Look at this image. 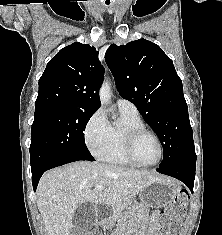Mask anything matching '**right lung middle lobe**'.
Here are the masks:
<instances>
[{"label":"right lung middle lobe","mask_w":222,"mask_h":235,"mask_svg":"<svg viewBox=\"0 0 222 235\" xmlns=\"http://www.w3.org/2000/svg\"><path fill=\"white\" fill-rule=\"evenodd\" d=\"M95 111L52 106L35 112L30 145L31 169L64 158L94 160L84 141V130Z\"/></svg>","instance_id":"1"}]
</instances>
